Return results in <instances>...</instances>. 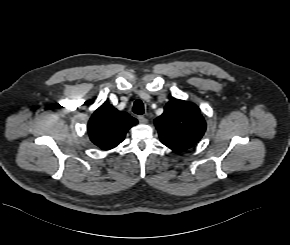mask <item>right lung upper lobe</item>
Returning <instances> with one entry per match:
<instances>
[{
    "label": "right lung upper lobe",
    "instance_id": "obj_1",
    "mask_svg": "<svg viewBox=\"0 0 290 245\" xmlns=\"http://www.w3.org/2000/svg\"><path fill=\"white\" fill-rule=\"evenodd\" d=\"M138 121L128 113L103 104L91 116L88 131L91 141L103 150L116 147Z\"/></svg>",
    "mask_w": 290,
    "mask_h": 245
}]
</instances>
